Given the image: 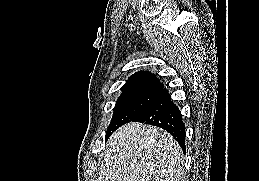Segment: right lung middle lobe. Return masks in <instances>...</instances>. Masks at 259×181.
<instances>
[{
    "label": "right lung middle lobe",
    "mask_w": 259,
    "mask_h": 181,
    "mask_svg": "<svg viewBox=\"0 0 259 181\" xmlns=\"http://www.w3.org/2000/svg\"><path fill=\"white\" fill-rule=\"evenodd\" d=\"M161 85H139L121 88L106 137L120 126L135 119L159 93Z\"/></svg>",
    "instance_id": "obj_1"
}]
</instances>
